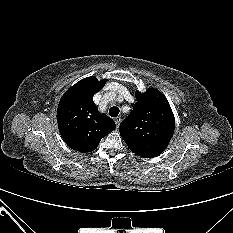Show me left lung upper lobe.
<instances>
[{
  "mask_svg": "<svg viewBox=\"0 0 233 233\" xmlns=\"http://www.w3.org/2000/svg\"><path fill=\"white\" fill-rule=\"evenodd\" d=\"M137 102L119 131L129 149L136 155L152 158L168 146L175 120L166 97L156 89L136 93Z\"/></svg>",
  "mask_w": 233,
  "mask_h": 233,
  "instance_id": "5c2ea615",
  "label": "left lung upper lobe"
}]
</instances>
